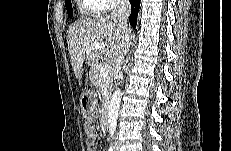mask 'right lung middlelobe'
<instances>
[{"label":"right lung middle lobe","mask_w":231,"mask_h":151,"mask_svg":"<svg viewBox=\"0 0 231 151\" xmlns=\"http://www.w3.org/2000/svg\"><path fill=\"white\" fill-rule=\"evenodd\" d=\"M65 5H66V9H67V13H68L69 18H72L73 10H72V5H71V0L66 2Z\"/></svg>","instance_id":"right-lung-middle-lobe-1"}]
</instances>
